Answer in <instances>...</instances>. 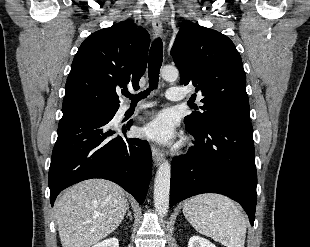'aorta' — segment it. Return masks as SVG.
<instances>
[{
	"instance_id": "762f6f07",
	"label": "aorta",
	"mask_w": 310,
	"mask_h": 247,
	"mask_svg": "<svg viewBox=\"0 0 310 247\" xmlns=\"http://www.w3.org/2000/svg\"><path fill=\"white\" fill-rule=\"evenodd\" d=\"M161 76L166 81H175L179 76L177 68L165 66L161 69ZM170 179L171 166L167 160H164L155 176L154 180V206L158 215L166 216L169 208L170 199Z\"/></svg>"
}]
</instances>
